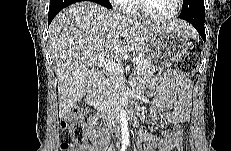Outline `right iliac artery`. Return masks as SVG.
I'll use <instances>...</instances> for the list:
<instances>
[{"label":"right iliac artery","mask_w":231,"mask_h":151,"mask_svg":"<svg viewBox=\"0 0 231 151\" xmlns=\"http://www.w3.org/2000/svg\"><path fill=\"white\" fill-rule=\"evenodd\" d=\"M125 149H126V148L123 146V147L121 148V151H125Z\"/></svg>","instance_id":"right-iliac-artery-1"}]
</instances>
